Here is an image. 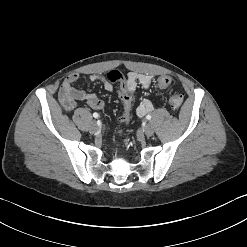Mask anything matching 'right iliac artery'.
I'll list each match as a JSON object with an SVG mask.
<instances>
[{
	"instance_id": "obj_1",
	"label": "right iliac artery",
	"mask_w": 247,
	"mask_h": 247,
	"mask_svg": "<svg viewBox=\"0 0 247 247\" xmlns=\"http://www.w3.org/2000/svg\"><path fill=\"white\" fill-rule=\"evenodd\" d=\"M93 117L94 118H98L99 117V114L95 112V113H93Z\"/></svg>"
}]
</instances>
